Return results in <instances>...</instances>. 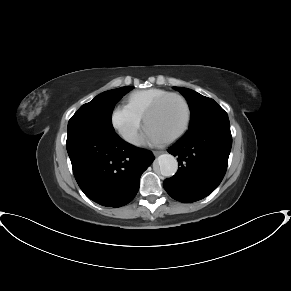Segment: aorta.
Wrapping results in <instances>:
<instances>
[{"label":"aorta","instance_id":"obj_1","mask_svg":"<svg viewBox=\"0 0 291 291\" xmlns=\"http://www.w3.org/2000/svg\"><path fill=\"white\" fill-rule=\"evenodd\" d=\"M160 172L165 177H171L175 175L178 170V162L176 158L171 154H162L157 159Z\"/></svg>","mask_w":291,"mask_h":291}]
</instances>
